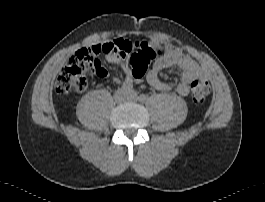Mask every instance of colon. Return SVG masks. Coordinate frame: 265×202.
I'll list each match as a JSON object with an SVG mask.
<instances>
[{"instance_id":"5ec220e1","label":"colon","mask_w":265,"mask_h":202,"mask_svg":"<svg viewBox=\"0 0 265 202\" xmlns=\"http://www.w3.org/2000/svg\"><path fill=\"white\" fill-rule=\"evenodd\" d=\"M117 52L128 58L131 75L139 81L147 71L148 64L161 56L164 50L161 46L134 45L129 41L119 40L105 44H96L69 59L59 72L54 87L59 93L70 91L82 92L87 87V77L91 72L104 74V69L98 62L100 54ZM210 93L209 83L195 79L191 83V95L195 103L202 104Z\"/></svg>"}]
</instances>
